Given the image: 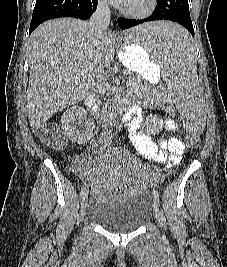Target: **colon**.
<instances>
[{"mask_svg": "<svg viewBox=\"0 0 227 267\" xmlns=\"http://www.w3.org/2000/svg\"><path fill=\"white\" fill-rule=\"evenodd\" d=\"M176 104H165V112L168 116H172L173 120H178V111H176ZM180 124V121H177ZM39 139L41 142L53 149H60L64 146V138L60 131L55 128H42L39 131ZM200 146V140L196 138L185 139L183 148L188 152V156H195L198 154V148Z\"/></svg>", "mask_w": 227, "mask_h": 267, "instance_id": "obj_1", "label": "colon"}]
</instances>
